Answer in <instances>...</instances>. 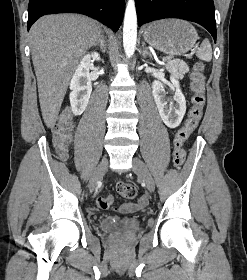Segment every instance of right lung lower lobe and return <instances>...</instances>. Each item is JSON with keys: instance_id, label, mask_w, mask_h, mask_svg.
I'll use <instances>...</instances> for the list:
<instances>
[{"instance_id": "right-lung-lower-lobe-1", "label": "right lung lower lobe", "mask_w": 247, "mask_h": 280, "mask_svg": "<svg viewBox=\"0 0 247 280\" xmlns=\"http://www.w3.org/2000/svg\"><path fill=\"white\" fill-rule=\"evenodd\" d=\"M124 0H30L27 28L41 16L51 13H81L117 31L122 23Z\"/></svg>"}]
</instances>
